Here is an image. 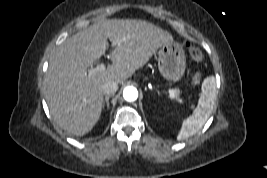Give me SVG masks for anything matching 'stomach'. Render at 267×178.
Listing matches in <instances>:
<instances>
[{
	"instance_id": "0dacf381",
	"label": "stomach",
	"mask_w": 267,
	"mask_h": 178,
	"mask_svg": "<svg viewBox=\"0 0 267 178\" xmlns=\"http://www.w3.org/2000/svg\"><path fill=\"white\" fill-rule=\"evenodd\" d=\"M158 68L164 79L179 81L186 68L183 47L175 41L163 44L158 51Z\"/></svg>"
}]
</instances>
